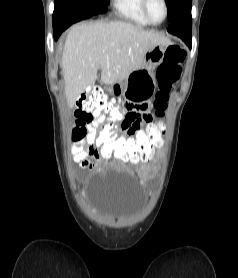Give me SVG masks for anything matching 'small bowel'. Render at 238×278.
<instances>
[{
	"instance_id": "1",
	"label": "small bowel",
	"mask_w": 238,
	"mask_h": 278,
	"mask_svg": "<svg viewBox=\"0 0 238 278\" xmlns=\"http://www.w3.org/2000/svg\"><path fill=\"white\" fill-rule=\"evenodd\" d=\"M146 124H154L150 114L149 105L144 102L131 104L123 123L119 127V132L123 131L124 135L120 137H134L137 130H161L146 129ZM106 127L99 122H93L88 126V133L84 137L85 140L75 139L80 142L75 148L74 156L81 168H92L96 162L101 160L98 155L96 141H99V131ZM119 132H117L119 134ZM149 135H147L148 137ZM160 136V135H156ZM137 163V162H131Z\"/></svg>"
}]
</instances>
